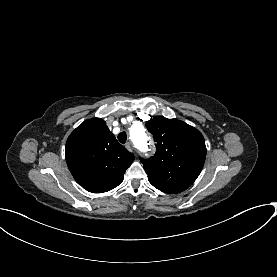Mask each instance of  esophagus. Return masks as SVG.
I'll return each instance as SVG.
<instances>
[{"label": "esophagus", "instance_id": "obj_1", "mask_svg": "<svg viewBox=\"0 0 277 277\" xmlns=\"http://www.w3.org/2000/svg\"><path fill=\"white\" fill-rule=\"evenodd\" d=\"M126 148H127L128 150H131V149H132L131 143H130V142H127V143H126Z\"/></svg>", "mask_w": 277, "mask_h": 277}]
</instances>
